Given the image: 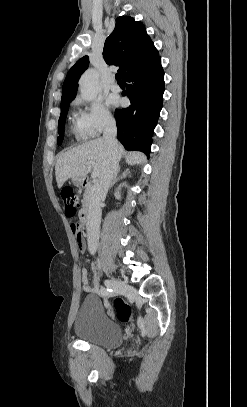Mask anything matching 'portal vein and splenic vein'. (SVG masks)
<instances>
[{
  "mask_svg": "<svg viewBox=\"0 0 247 407\" xmlns=\"http://www.w3.org/2000/svg\"><path fill=\"white\" fill-rule=\"evenodd\" d=\"M87 164L91 165L93 167V172L91 174V177L93 179L97 178L99 176V172L97 170L96 163L94 161H88Z\"/></svg>",
  "mask_w": 247,
  "mask_h": 407,
  "instance_id": "portal-vein-and-splenic-vein-1",
  "label": "portal vein and splenic vein"
}]
</instances>
